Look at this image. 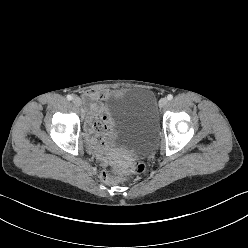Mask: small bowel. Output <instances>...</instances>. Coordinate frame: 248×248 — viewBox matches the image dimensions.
Instances as JSON below:
<instances>
[{"label":"small bowel","instance_id":"obj_1","mask_svg":"<svg viewBox=\"0 0 248 248\" xmlns=\"http://www.w3.org/2000/svg\"><path fill=\"white\" fill-rule=\"evenodd\" d=\"M106 90H91L84 95L85 105L88 112L87 130L94 145H104L103 136L111 128V120L107 109L99 100L109 97Z\"/></svg>","mask_w":248,"mask_h":248}]
</instances>
